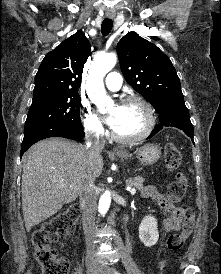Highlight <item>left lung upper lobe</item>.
<instances>
[{"mask_svg":"<svg viewBox=\"0 0 221 274\" xmlns=\"http://www.w3.org/2000/svg\"><path fill=\"white\" fill-rule=\"evenodd\" d=\"M127 82L159 113L185 105L179 77L170 59L155 44L129 32L117 44Z\"/></svg>","mask_w":221,"mask_h":274,"instance_id":"5c2ea615","label":"left lung upper lobe"}]
</instances>
